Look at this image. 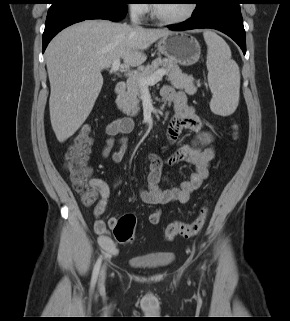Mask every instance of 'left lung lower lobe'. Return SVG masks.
<instances>
[{
  "label": "left lung lower lobe",
  "mask_w": 290,
  "mask_h": 321,
  "mask_svg": "<svg viewBox=\"0 0 290 321\" xmlns=\"http://www.w3.org/2000/svg\"><path fill=\"white\" fill-rule=\"evenodd\" d=\"M241 0H213L205 8L193 12V17L168 28L174 31L213 28L231 37L246 53L245 30L239 4Z\"/></svg>",
  "instance_id": "left-lung-lower-lobe-1"
}]
</instances>
